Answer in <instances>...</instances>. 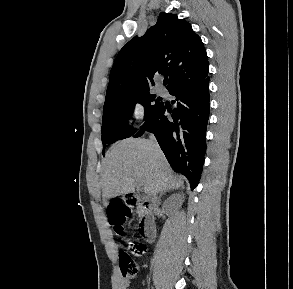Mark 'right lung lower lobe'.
I'll return each instance as SVG.
<instances>
[{"label":"right lung lower lobe","instance_id":"1","mask_svg":"<svg viewBox=\"0 0 293 289\" xmlns=\"http://www.w3.org/2000/svg\"><path fill=\"white\" fill-rule=\"evenodd\" d=\"M169 93L176 97L171 111L163 103L145 120L133 137L152 132L172 168L185 175L194 189L200 180L206 153L209 118V77L183 84ZM171 113V118L167 117Z\"/></svg>","mask_w":293,"mask_h":289}]
</instances>
